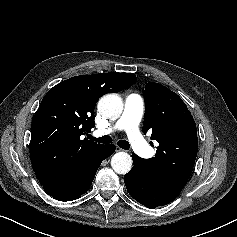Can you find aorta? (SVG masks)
<instances>
[{
  "instance_id": "1",
  "label": "aorta",
  "mask_w": 237,
  "mask_h": 237,
  "mask_svg": "<svg viewBox=\"0 0 237 237\" xmlns=\"http://www.w3.org/2000/svg\"><path fill=\"white\" fill-rule=\"evenodd\" d=\"M123 110L121 98L116 94L104 95L98 102V111L105 118L115 120ZM111 166L118 174H126L132 167V158L126 152H118L111 159Z\"/></svg>"
}]
</instances>
